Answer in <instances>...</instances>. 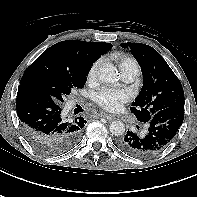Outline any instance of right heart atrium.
Here are the masks:
<instances>
[{"label": "right heart atrium", "mask_w": 197, "mask_h": 197, "mask_svg": "<svg viewBox=\"0 0 197 197\" xmlns=\"http://www.w3.org/2000/svg\"><path fill=\"white\" fill-rule=\"evenodd\" d=\"M99 66H100V60L95 61L91 65V67H90V69L88 71V76H87L88 80L90 82H94L96 80Z\"/></svg>", "instance_id": "obj_1"}]
</instances>
